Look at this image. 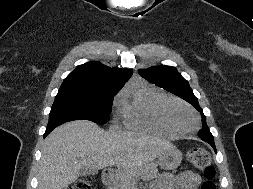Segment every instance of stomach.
Segmentation results:
<instances>
[{
	"mask_svg": "<svg viewBox=\"0 0 253 189\" xmlns=\"http://www.w3.org/2000/svg\"><path fill=\"white\" fill-rule=\"evenodd\" d=\"M182 160V153L176 147L169 148L157 157L156 163L162 169L171 170L177 168Z\"/></svg>",
	"mask_w": 253,
	"mask_h": 189,
	"instance_id": "stomach-1",
	"label": "stomach"
}]
</instances>
